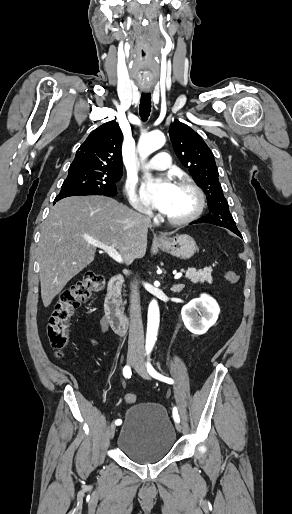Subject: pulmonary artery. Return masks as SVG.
<instances>
[{
	"mask_svg": "<svg viewBox=\"0 0 292 514\" xmlns=\"http://www.w3.org/2000/svg\"><path fill=\"white\" fill-rule=\"evenodd\" d=\"M153 157L154 159L149 165L153 172H170L172 170L173 159L170 151L157 150L154 152Z\"/></svg>",
	"mask_w": 292,
	"mask_h": 514,
	"instance_id": "e3ab8cb5",
	"label": "pulmonary artery"
}]
</instances>
